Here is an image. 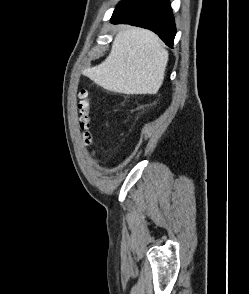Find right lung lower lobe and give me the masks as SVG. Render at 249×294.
Returning <instances> with one entry per match:
<instances>
[{"instance_id":"98d812e1","label":"right lung lower lobe","mask_w":249,"mask_h":294,"mask_svg":"<svg viewBox=\"0 0 249 294\" xmlns=\"http://www.w3.org/2000/svg\"><path fill=\"white\" fill-rule=\"evenodd\" d=\"M111 22L150 29L173 46L176 29L169 0H124L115 9Z\"/></svg>"}]
</instances>
